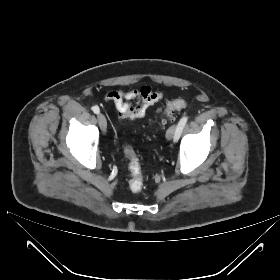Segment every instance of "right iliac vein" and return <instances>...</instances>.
I'll list each match as a JSON object with an SVG mask.
<instances>
[{
    "instance_id": "1",
    "label": "right iliac vein",
    "mask_w": 280,
    "mask_h": 280,
    "mask_svg": "<svg viewBox=\"0 0 280 280\" xmlns=\"http://www.w3.org/2000/svg\"><path fill=\"white\" fill-rule=\"evenodd\" d=\"M97 119H98L100 129L102 130L103 133H105L107 129V121L105 116L103 114H98Z\"/></svg>"
}]
</instances>
